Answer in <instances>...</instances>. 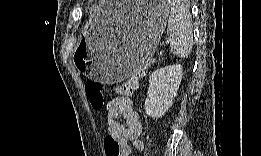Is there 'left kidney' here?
<instances>
[{
    "mask_svg": "<svg viewBox=\"0 0 261 156\" xmlns=\"http://www.w3.org/2000/svg\"><path fill=\"white\" fill-rule=\"evenodd\" d=\"M182 76L180 64L157 69L151 74L144 104L148 116L153 119L164 116L177 95Z\"/></svg>",
    "mask_w": 261,
    "mask_h": 156,
    "instance_id": "obj_1",
    "label": "left kidney"
}]
</instances>
